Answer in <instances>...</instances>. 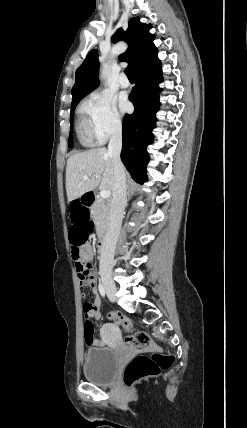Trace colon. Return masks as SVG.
<instances>
[{
    "label": "colon",
    "mask_w": 247,
    "mask_h": 428,
    "mask_svg": "<svg viewBox=\"0 0 247 428\" xmlns=\"http://www.w3.org/2000/svg\"><path fill=\"white\" fill-rule=\"evenodd\" d=\"M69 220L66 222L70 239L71 253L75 260L80 279L86 280L89 272V264L81 258L80 247L84 246V239H90L94 230V218L89 217L90 204H80L79 199L68 200ZM86 316V315H85ZM110 317L120 324L124 329H132L131 321L121 313H112ZM84 338L87 345H92L94 338V325L88 316L84 321ZM129 347L135 350H154L155 346L145 332H135L126 338ZM174 363V357L170 354L153 352L150 356L140 354L134 357L126 366L124 371V382L126 386L132 387L138 381L155 377L162 370L170 368Z\"/></svg>",
    "instance_id": "1"
}]
</instances>
